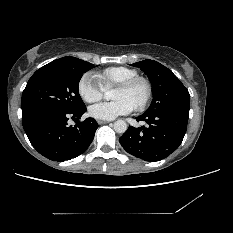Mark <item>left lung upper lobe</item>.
Returning a JSON list of instances; mask_svg holds the SVG:
<instances>
[{
	"mask_svg": "<svg viewBox=\"0 0 233 233\" xmlns=\"http://www.w3.org/2000/svg\"><path fill=\"white\" fill-rule=\"evenodd\" d=\"M131 65L139 67L153 87L154 97L145 113L189 108V92L170 69L150 59Z\"/></svg>",
	"mask_w": 233,
	"mask_h": 233,
	"instance_id": "1",
	"label": "left lung upper lobe"
}]
</instances>
